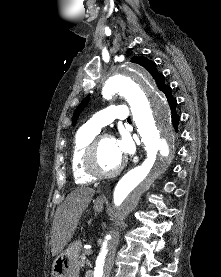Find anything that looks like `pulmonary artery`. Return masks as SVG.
I'll use <instances>...</instances> for the list:
<instances>
[{"label":"pulmonary artery","mask_w":221,"mask_h":277,"mask_svg":"<svg viewBox=\"0 0 221 277\" xmlns=\"http://www.w3.org/2000/svg\"><path fill=\"white\" fill-rule=\"evenodd\" d=\"M128 117L129 110L126 105H111L96 113L87 121L85 126L98 132L114 120H127Z\"/></svg>","instance_id":"e3ab8cb5"}]
</instances>
